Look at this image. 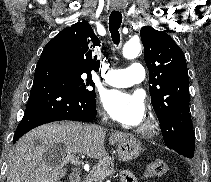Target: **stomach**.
Returning <instances> with one entry per match:
<instances>
[{
    "label": "stomach",
    "instance_id": "obj_1",
    "mask_svg": "<svg viewBox=\"0 0 211 182\" xmlns=\"http://www.w3.org/2000/svg\"><path fill=\"white\" fill-rule=\"evenodd\" d=\"M141 151V143L132 136H128L118 141L117 155L121 161H132L140 155Z\"/></svg>",
    "mask_w": 211,
    "mask_h": 182
}]
</instances>
